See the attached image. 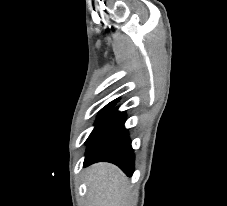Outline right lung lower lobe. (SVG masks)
Instances as JSON below:
<instances>
[{
    "label": "right lung lower lobe",
    "instance_id": "1",
    "mask_svg": "<svg viewBox=\"0 0 227 206\" xmlns=\"http://www.w3.org/2000/svg\"><path fill=\"white\" fill-rule=\"evenodd\" d=\"M112 108L100 119L86 141L84 167L106 161L116 164L127 176H132L134 152L124 127L125 114Z\"/></svg>",
    "mask_w": 227,
    "mask_h": 206
}]
</instances>
